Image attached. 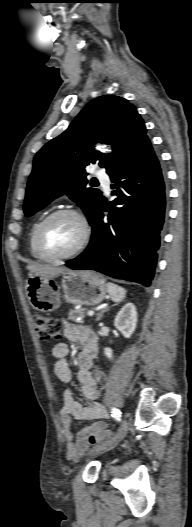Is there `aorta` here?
Returning a JSON list of instances; mask_svg holds the SVG:
<instances>
[{"instance_id":"1","label":"aorta","mask_w":192,"mask_h":527,"mask_svg":"<svg viewBox=\"0 0 192 527\" xmlns=\"http://www.w3.org/2000/svg\"><path fill=\"white\" fill-rule=\"evenodd\" d=\"M100 150L107 151L104 147H100Z\"/></svg>"}]
</instances>
